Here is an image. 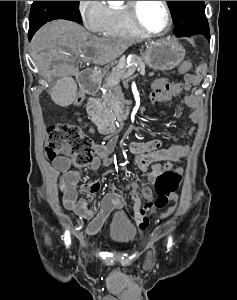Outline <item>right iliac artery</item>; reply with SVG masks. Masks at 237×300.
Here are the masks:
<instances>
[{"instance_id":"right-iliac-artery-1","label":"right iliac artery","mask_w":237,"mask_h":300,"mask_svg":"<svg viewBox=\"0 0 237 300\" xmlns=\"http://www.w3.org/2000/svg\"><path fill=\"white\" fill-rule=\"evenodd\" d=\"M64 241H65V244H66L67 246H69L70 243H71L70 233H69L68 230H67V231L65 232V234H64Z\"/></svg>"}]
</instances>
